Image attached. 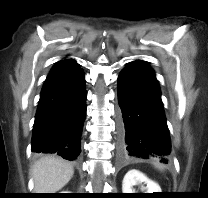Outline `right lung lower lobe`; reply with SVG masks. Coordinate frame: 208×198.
Here are the masks:
<instances>
[{"label":"right lung lower lobe","mask_w":208,"mask_h":198,"mask_svg":"<svg viewBox=\"0 0 208 198\" xmlns=\"http://www.w3.org/2000/svg\"><path fill=\"white\" fill-rule=\"evenodd\" d=\"M85 111L86 88L80 65L72 60L52 69L41 91L32 152L75 160L80 154Z\"/></svg>","instance_id":"obj_1"}]
</instances>
